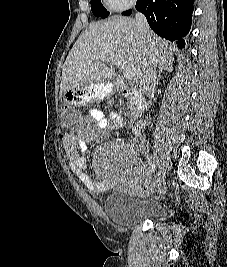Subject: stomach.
Here are the masks:
<instances>
[{
  "mask_svg": "<svg viewBox=\"0 0 227 267\" xmlns=\"http://www.w3.org/2000/svg\"><path fill=\"white\" fill-rule=\"evenodd\" d=\"M110 93V86L105 84L69 87V91H63V99H60V104H83L86 101L103 98Z\"/></svg>",
  "mask_w": 227,
  "mask_h": 267,
  "instance_id": "1",
  "label": "stomach"
}]
</instances>
